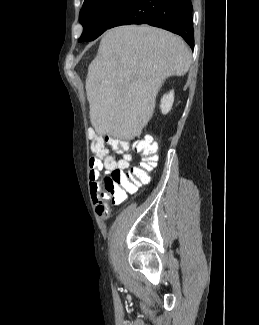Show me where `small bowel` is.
Here are the masks:
<instances>
[{
    "label": "small bowel",
    "mask_w": 259,
    "mask_h": 325,
    "mask_svg": "<svg viewBox=\"0 0 259 325\" xmlns=\"http://www.w3.org/2000/svg\"><path fill=\"white\" fill-rule=\"evenodd\" d=\"M128 162L124 160L117 161L112 156H106L104 159H98L96 157L91 158L89 162V184H90V193L94 204L96 205V212L100 216H107L108 214V207L106 204V200L109 197L104 196L101 197V189L99 184V178L101 172L104 171L106 174H109L110 171L118 166L124 165L127 166ZM150 180V178H149Z\"/></svg>",
    "instance_id": "small-bowel-1"
}]
</instances>
